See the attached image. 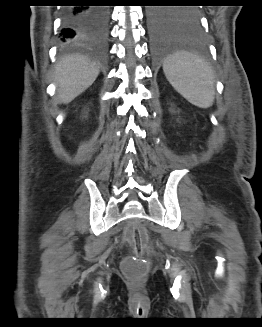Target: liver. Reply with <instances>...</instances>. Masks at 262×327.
I'll return each instance as SVG.
<instances>
[{
    "mask_svg": "<svg viewBox=\"0 0 262 327\" xmlns=\"http://www.w3.org/2000/svg\"><path fill=\"white\" fill-rule=\"evenodd\" d=\"M99 69L82 56L64 58L57 66L55 80L58 84V98L69 103L90 87L96 80Z\"/></svg>",
    "mask_w": 262,
    "mask_h": 327,
    "instance_id": "1",
    "label": "liver"
}]
</instances>
